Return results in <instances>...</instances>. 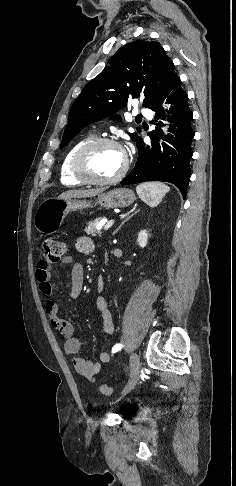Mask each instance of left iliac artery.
Instances as JSON below:
<instances>
[{
	"instance_id": "obj_1",
	"label": "left iliac artery",
	"mask_w": 236,
	"mask_h": 486,
	"mask_svg": "<svg viewBox=\"0 0 236 486\" xmlns=\"http://www.w3.org/2000/svg\"><path fill=\"white\" fill-rule=\"evenodd\" d=\"M122 348V344H116L113 348H112V353H116L118 352L120 349Z\"/></svg>"
}]
</instances>
